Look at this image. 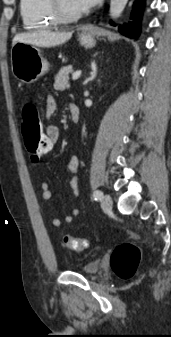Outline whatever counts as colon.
I'll list each match as a JSON object with an SVG mask.
<instances>
[{"label":"colon","instance_id":"obj_1","mask_svg":"<svg viewBox=\"0 0 171 337\" xmlns=\"http://www.w3.org/2000/svg\"><path fill=\"white\" fill-rule=\"evenodd\" d=\"M21 132L31 161L37 162L51 151L52 140H48L43 134L38 108L32 102L26 103L23 107ZM62 242L67 248L75 251H82L88 246L85 238H75L70 235H63ZM140 259V248L133 242H124L113 250L111 267L118 277L128 280L135 275Z\"/></svg>","mask_w":171,"mask_h":337}]
</instances>
